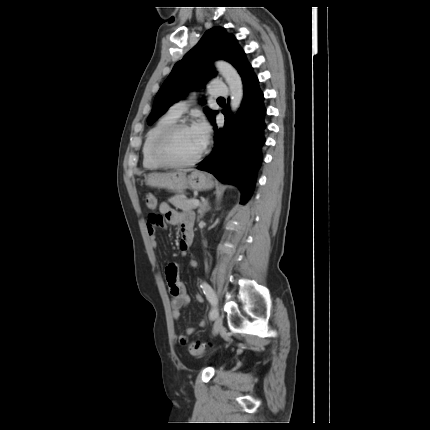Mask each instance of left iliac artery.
Instances as JSON below:
<instances>
[{
    "mask_svg": "<svg viewBox=\"0 0 430 430\" xmlns=\"http://www.w3.org/2000/svg\"><path fill=\"white\" fill-rule=\"evenodd\" d=\"M200 287L203 289L204 294L206 295V298L209 300V302L212 305V310L209 313V319L210 320H214L217 316V304H218V300L217 297L215 295V293L213 292V290L211 289V287L206 283L203 282Z\"/></svg>",
    "mask_w": 430,
    "mask_h": 430,
    "instance_id": "44dca946",
    "label": "left iliac artery"
}]
</instances>
